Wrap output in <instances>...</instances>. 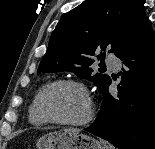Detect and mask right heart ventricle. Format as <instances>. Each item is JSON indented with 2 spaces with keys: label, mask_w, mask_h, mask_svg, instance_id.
Listing matches in <instances>:
<instances>
[{
  "label": "right heart ventricle",
  "mask_w": 155,
  "mask_h": 149,
  "mask_svg": "<svg viewBox=\"0 0 155 149\" xmlns=\"http://www.w3.org/2000/svg\"><path fill=\"white\" fill-rule=\"evenodd\" d=\"M39 93L34 97L28 111L29 122L34 126H44L48 124V121L41 116L37 108Z\"/></svg>",
  "instance_id": "obj_1"
}]
</instances>
